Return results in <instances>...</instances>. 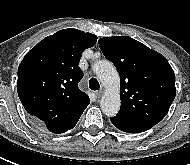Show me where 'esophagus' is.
<instances>
[{
  "label": "esophagus",
  "mask_w": 190,
  "mask_h": 165,
  "mask_svg": "<svg viewBox=\"0 0 190 165\" xmlns=\"http://www.w3.org/2000/svg\"><path fill=\"white\" fill-rule=\"evenodd\" d=\"M102 94H103V90L102 89H100L99 91L96 92V96L98 98H100L102 96Z\"/></svg>",
  "instance_id": "esophagus-1"
}]
</instances>
